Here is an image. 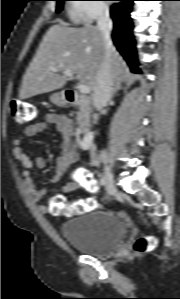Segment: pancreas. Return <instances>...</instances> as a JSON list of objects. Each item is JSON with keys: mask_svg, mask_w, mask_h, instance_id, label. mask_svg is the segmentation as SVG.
<instances>
[{"mask_svg": "<svg viewBox=\"0 0 180 299\" xmlns=\"http://www.w3.org/2000/svg\"><path fill=\"white\" fill-rule=\"evenodd\" d=\"M87 117V110L85 107L81 106L80 110L77 112V123H82L83 119Z\"/></svg>", "mask_w": 180, "mask_h": 299, "instance_id": "obj_1", "label": "pancreas"}]
</instances>
